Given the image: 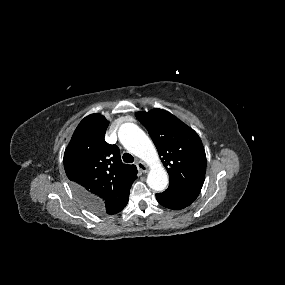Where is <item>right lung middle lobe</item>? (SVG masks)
<instances>
[{
	"instance_id": "dd1d6c3e",
	"label": "right lung middle lobe",
	"mask_w": 285,
	"mask_h": 285,
	"mask_svg": "<svg viewBox=\"0 0 285 285\" xmlns=\"http://www.w3.org/2000/svg\"><path fill=\"white\" fill-rule=\"evenodd\" d=\"M85 205V204H84ZM89 210H91L92 212L96 213V214H102L101 212L97 211L95 207L92 206H88L85 205Z\"/></svg>"
}]
</instances>
